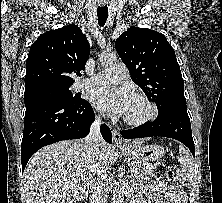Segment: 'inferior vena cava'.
Wrapping results in <instances>:
<instances>
[{
  "mask_svg": "<svg viewBox=\"0 0 222 203\" xmlns=\"http://www.w3.org/2000/svg\"><path fill=\"white\" fill-rule=\"evenodd\" d=\"M102 120L96 117L91 125L89 135L84 139V148L89 159H99L100 145L103 141L100 135ZM91 203H107L108 175L105 170H99L89 184Z\"/></svg>",
  "mask_w": 222,
  "mask_h": 203,
  "instance_id": "1",
  "label": "inferior vena cava"
}]
</instances>
